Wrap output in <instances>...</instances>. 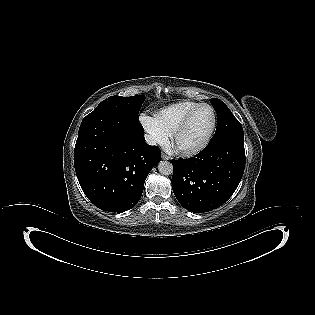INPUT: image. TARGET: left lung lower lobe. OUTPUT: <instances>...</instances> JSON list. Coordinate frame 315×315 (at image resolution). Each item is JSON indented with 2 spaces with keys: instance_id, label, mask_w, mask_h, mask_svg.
Returning <instances> with one entry per match:
<instances>
[{
  "instance_id": "left-lung-lower-lobe-1",
  "label": "left lung lower lobe",
  "mask_w": 315,
  "mask_h": 315,
  "mask_svg": "<svg viewBox=\"0 0 315 315\" xmlns=\"http://www.w3.org/2000/svg\"><path fill=\"white\" fill-rule=\"evenodd\" d=\"M172 165V189L181 206L193 212L215 209L240 183L245 167L244 139H221L195 157L172 160Z\"/></svg>"
}]
</instances>
